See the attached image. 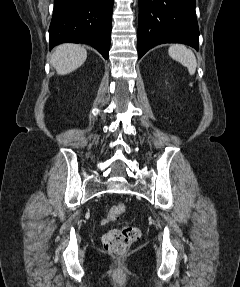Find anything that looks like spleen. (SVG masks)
I'll return each mask as SVG.
<instances>
[{"instance_id":"1","label":"spleen","mask_w":240,"mask_h":287,"mask_svg":"<svg viewBox=\"0 0 240 287\" xmlns=\"http://www.w3.org/2000/svg\"><path fill=\"white\" fill-rule=\"evenodd\" d=\"M169 56L187 67L190 75H194L197 68V61L194 53L181 44L171 45L168 49Z\"/></svg>"}]
</instances>
